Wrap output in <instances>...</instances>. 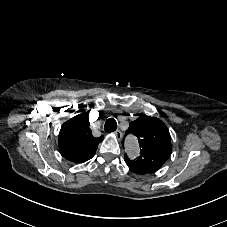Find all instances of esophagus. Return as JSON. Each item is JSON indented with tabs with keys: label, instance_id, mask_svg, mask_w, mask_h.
Wrapping results in <instances>:
<instances>
[{
	"label": "esophagus",
	"instance_id": "1",
	"mask_svg": "<svg viewBox=\"0 0 227 227\" xmlns=\"http://www.w3.org/2000/svg\"><path fill=\"white\" fill-rule=\"evenodd\" d=\"M114 134H115L117 140H120V139L122 138V133H121L119 130H116V131L114 132Z\"/></svg>",
	"mask_w": 227,
	"mask_h": 227
}]
</instances>
